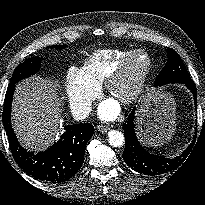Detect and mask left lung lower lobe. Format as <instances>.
Returning a JSON list of instances; mask_svg holds the SVG:
<instances>
[{"label":"left lung lower lobe","instance_id":"1","mask_svg":"<svg viewBox=\"0 0 205 205\" xmlns=\"http://www.w3.org/2000/svg\"><path fill=\"white\" fill-rule=\"evenodd\" d=\"M182 84H185L186 87L192 91L194 96V103L196 106L197 90L194 82L191 80ZM134 118L135 116L133 110L123 124L126 145L122 157L125 163L136 172L148 176H157L176 169L182 162L183 158L186 156L188 149L185 153L181 154V156H178L175 159H169L163 156L150 154L141 146L136 137L133 123Z\"/></svg>","mask_w":205,"mask_h":205}]
</instances>
